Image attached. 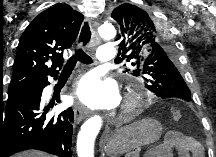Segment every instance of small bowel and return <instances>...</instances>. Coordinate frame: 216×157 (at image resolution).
<instances>
[{"label":"small bowel","instance_id":"small-bowel-1","mask_svg":"<svg viewBox=\"0 0 216 157\" xmlns=\"http://www.w3.org/2000/svg\"><path fill=\"white\" fill-rule=\"evenodd\" d=\"M203 157L202 145L193 137L187 136L179 131H171L166 137L159 157Z\"/></svg>","mask_w":216,"mask_h":157}]
</instances>
